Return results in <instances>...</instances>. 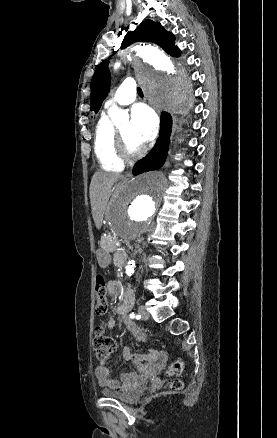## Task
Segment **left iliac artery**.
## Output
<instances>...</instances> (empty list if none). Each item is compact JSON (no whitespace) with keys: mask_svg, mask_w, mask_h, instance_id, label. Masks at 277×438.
<instances>
[{"mask_svg":"<svg viewBox=\"0 0 277 438\" xmlns=\"http://www.w3.org/2000/svg\"><path fill=\"white\" fill-rule=\"evenodd\" d=\"M130 318H137V319H139L140 315H136L135 313H131L130 314Z\"/></svg>","mask_w":277,"mask_h":438,"instance_id":"obj_1","label":"left iliac artery"}]
</instances>
